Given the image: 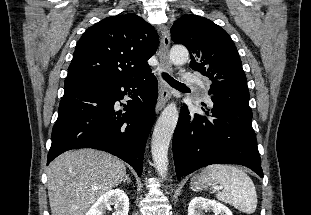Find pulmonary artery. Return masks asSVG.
Masks as SVG:
<instances>
[{
  "label": "pulmonary artery",
  "instance_id": "e3ab8cb5",
  "mask_svg": "<svg viewBox=\"0 0 311 215\" xmlns=\"http://www.w3.org/2000/svg\"><path fill=\"white\" fill-rule=\"evenodd\" d=\"M183 78H184V81H186L187 83L196 85L198 92L202 96L204 97L207 96L208 84L204 80L189 73H186Z\"/></svg>",
  "mask_w": 311,
  "mask_h": 215
}]
</instances>
